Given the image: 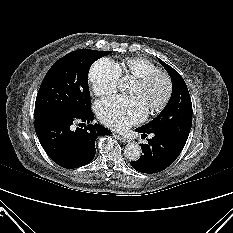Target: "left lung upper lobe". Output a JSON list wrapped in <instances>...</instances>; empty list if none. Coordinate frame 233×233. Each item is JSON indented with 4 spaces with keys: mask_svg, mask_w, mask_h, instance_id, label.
Here are the masks:
<instances>
[{
    "mask_svg": "<svg viewBox=\"0 0 233 233\" xmlns=\"http://www.w3.org/2000/svg\"><path fill=\"white\" fill-rule=\"evenodd\" d=\"M158 60L171 77L172 95L163 111L152 122L140 129L145 131L162 129L186 143L192 126V102L188 88L176 70L162 60Z\"/></svg>",
    "mask_w": 233,
    "mask_h": 233,
    "instance_id": "5c2ea615",
    "label": "left lung upper lobe"
}]
</instances>
